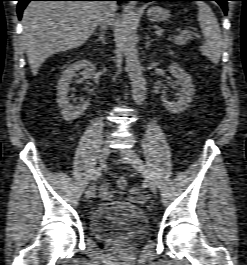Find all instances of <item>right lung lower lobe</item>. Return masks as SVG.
I'll list each match as a JSON object with an SVG mask.
<instances>
[{
  "label": "right lung lower lobe",
  "instance_id": "obj_1",
  "mask_svg": "<svg viewBox=\"0 0 247 265\" xmlns=\"http://www.w3.org/2000/svg\"><path fill=\"white\" fill-rule=\"evenodd\" d=\"M30 1H118V2H121V1H128V0H18L17 12H18L19 19H21L22 12Z\"/></svg>",
  "mask_w": 247,
  "mask_h": 265
}]
</instances>
